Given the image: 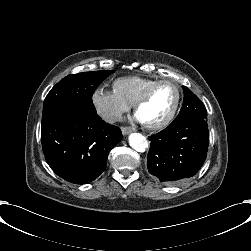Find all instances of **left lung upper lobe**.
<instances>
[{
	"instance_id": "5c2ea615",
	"label": "left lung upper lobe",
	"mask_w": 251,
	"mask_h": 251,
	"mask_svg": "<svg viewBox=\"0 0 251 251\" xmlns=\"http://www.w3.org/2000/svg\"><path fill=\"white\" fill-rule=\"evenodd\" d=\"M184 99L179 115L171 124H175L188 119H204L207 118V111L204 104L199 98L187 87L182 86Z\"/></svg>"
}]
</instances>
